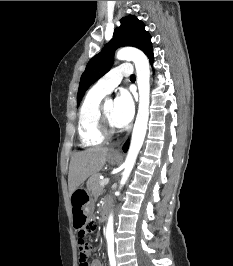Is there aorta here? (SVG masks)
Here are the masks:
<instances>
[{
	"instance_id": "aorta-1",
	"label": "aorta",
	"mask_w": 233,
	"mask_h": 266,
	"mask_svg": "<svg viewBox=\"0 0 233 266\" xmlns=\"http://www.w3.org/2000/svg\"><path fill=\"white\" fill-rule=\"evenodd\" d=\"M116 58L121 61L126 60L134 62L139 91L138 112L132 132L130 147L124 163V171L120 181L121 188L126 183L133 169L147 131L150 98V68L148 58L141 50L137 48H122L117 52ZM113 234V215L110 214L106 227V238H112Z\"/></svg>"
}]
</instances>
